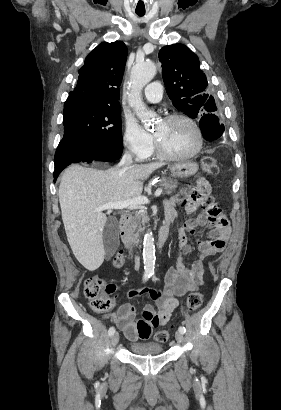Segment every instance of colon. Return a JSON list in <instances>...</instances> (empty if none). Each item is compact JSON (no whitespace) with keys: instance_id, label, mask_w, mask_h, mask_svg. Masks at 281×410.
Listing matches in <instances>:
<instances>
[{"instance_id":"5ec220e1","label":"colon","mask_w":281,"mask_h":410,"mask_svg":"<svg viewBox=\"0 0 281 410\" xmlns=\"http://www.w3.org/2000/svg\"><path fill=\"white\" fill-rule=\"evenodd\" d=\"M202 168L208 175H217L219 166L213 157H204L202 159ZM200 206L210 216H221V211L215 199L209 194L202 197ZM124 257L121 253H117L113 258V264L116 267L122 266ZM116 290L114 285L108 284L103 275L97 274L87 278L84 282V294L90 300L91 308L98 313L107 311L112 301L110 295ZM202 303V294L200 292L191 293L186 301V307L189 312L196 311ZM167 330H160L155 333V341L165 343L169 339Z\"/></svg>"}]
</instances>
